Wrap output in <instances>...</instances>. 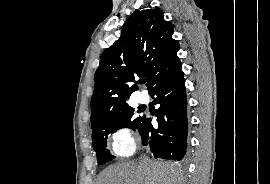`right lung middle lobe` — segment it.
Segmentation results:
<instances>
[{
    "label": "right lung middle lobe",
    "instance_id": "obj_1",
    "mask_svg": "<svg viewBox=\"0 0 270 184\" xmlns=\"http://www.w3.org/2000/svg\"><path fill=\"white\" fill-rule=\"evenodd\" d=\"M134 108L126 105L115 112L113 115L102 119L92 126L93 149L96 151L98 164L106 163L110 158V151L106 148L108 135L116 132L120 128L128 127L133 130L140 127L145 116L135 117Z\"/></svg>",
    "mask_w": 270,
    "mask_h": 184
}]
</instances>
